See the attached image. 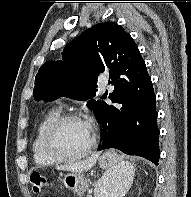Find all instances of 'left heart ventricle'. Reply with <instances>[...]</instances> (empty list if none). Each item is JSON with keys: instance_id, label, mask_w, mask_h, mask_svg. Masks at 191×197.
Instances as JSON below:
<instances>
[{"instance_id": "b2bd125f", "label": "left heart ventricle", "mask_w": 191, "mask_h": 197, "mask_svg": "<svg viewBox=\"0 0 191 197\" xmlns=\"http://www.w3.org/2000/svg\"><path fill=\"white\" fill-rule=\"evenodd\" d=\"M92 139V131L84 122L70 121L62 125L54 136L56 148L65 155L82 152Z\"/></svg>"}]
</instances>
